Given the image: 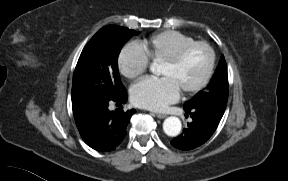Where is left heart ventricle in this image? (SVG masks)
<instances>
[{"label": "left heart ventricle", "instance_id": "b2bd125f", "mask_svg": "<svg viewBox=\"0 0 288 181\" xmlns=\"http://www.w3.org/2000/svg\"><path fill=\"white\" fill-rule=\"evenodd\" d=\"M210 62L209 51L204 47H195L174 66L160 63L157 74L169 78L179 91L193 87L204 77Z\"/></svg>", "mask_w": 288, "mask_h": 181}]
</instances>
